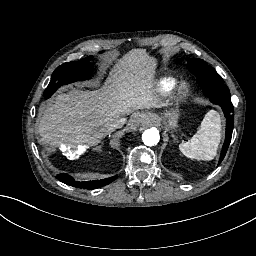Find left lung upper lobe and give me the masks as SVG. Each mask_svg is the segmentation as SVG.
Returning a JSON list of instances; mask_svg holds the SVG:
<instances>
[{"instance_id": "1", "label": "left lung upper lobe", "mask_w": 256, "mask_h": 256, "mask_svg": "<svg viewBox=\"0 0 256 256\" xmlns=\"http://www.w3.org/2000/svg\"><path fill=\"white\" fill-rule=\"evenodd\" d=\"M187 68L196 75L197 83L203 88V93L210 101L218 104L226 117V137L218 164L224 159L231 141L234 126L233 105L228 87L216 71L198 58H189Z\"/></svg>"}]
</instances>
